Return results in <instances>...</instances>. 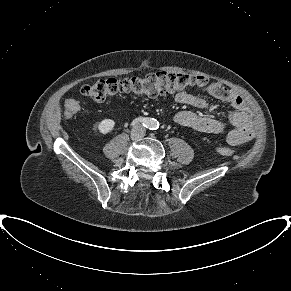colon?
Listing matches in <instances>:
<instances>
[{
    "mask_svg": "<svg viewBox=\"0 0 291 291\" xmlns=\"http://www.w3.org/2000/svg\"><path fill=\"white\" fill-rule=\"evenodd\" d=\"M218 82L204 76H191L182 73L157 72L145 76L125 79H100L81 88L82 95L95 102H105L121 95L157 97L164 94L179 93L187 89L218 88ZM83 103L78 99H69L64 103V116L69 118L82 109ZM215 151L226 157L235 155V150L227 146H217Z\"/></svg>",
    "mask_w": 291,
    "mask_h": 291,
    "instance_id": "5ec220e1",
    "label": "colon"
}]
</instances>
